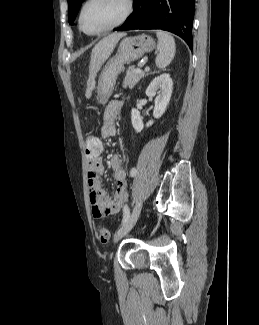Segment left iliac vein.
I'll return each mask as SVG.
<instances>
[{
  "label": "left iliac vein",
  "mask_w": 259,
  "mask_h": 325,
  "mask_svg": "<svg viewBox=\"0 0 259 325\" xmlns=\"http://www.w3.org/2000/svg\"><path fill=\"white\" fill-rule=\"evenodd\" d=\"M143 206V202L142 200L138 201L131 213V215L129 216V218L127 219L126 222H124L122 224V226L119 228V230L114 234V242H118L120 239H122L125 235H127L131 229L134 227V225L136 224L138 217L140 215L141 209Z\"/></svg>",
  "instance_id": "obj_1"
}]
</instances>
